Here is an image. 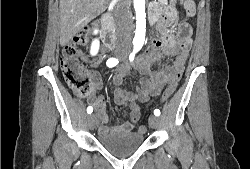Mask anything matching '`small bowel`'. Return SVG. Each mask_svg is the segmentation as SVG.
<instances>
[{"label": "small bowel", "mask_w": 250, "mask_h": 169, "mask_svg": "<svg viewBox=\"0 0 250 169\" xmlns=\"http://www.w3.org/2000/svg\"><path fill=\"white\" fill-rule=\"evenodd\" d=\"M187 14L192 16L194 11H187ZM153 17L157 20L159 27H163L167 21L161 20L174 19L175 12L173 10L161 11L153 14ZM189 37L190 29L187 34L183 35L176 42L164 45L159 35L156 34L149 50L139 56L133 65L123 66L112 76V83L116 86L114 101L119 106L129 108L130 120L128 122L120 126L108 127L109 113L106 108V99L99 94L93 93L90 97V103L94 107L95 114L99 120V132L101 135H106L109 132L130 133L141 115L139 103L148 102L151 97L160 95L163 89H175L164 88V83H178L181 79L191 46ZM167 56L174 57L172 64L164 62V58ZM88 60L92 65L96 66L103 60V55L100 54L96 57L88 58ZM133 68L142 75L136 88V95L121 87L125 77L131 74ZM89 75L95 91L100 90L102 87L101 75L94 70H90Z\"/></svg>", "instance_id": "1"}]
</instances>
